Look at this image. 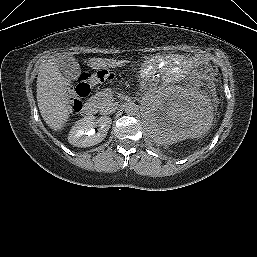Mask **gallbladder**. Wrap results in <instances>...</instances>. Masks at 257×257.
I'll return each mask as SVG.
<instances>
[{"label": "gallbladder", "mask_w": 257, "mask_h": 257, "mask_svg": "<svg viewBox=\"0 0 257 257\" xmlns=\"http://www.w3.org/2000/svg\"><path fill=\"white\" fill-rule=\"evenodd\" d=\"M55 63L60 72L69 80H76L81 74L79 63L68 53L57 55Z\"/></svg>", "instance_id": "obj_1"}]
</instances>
